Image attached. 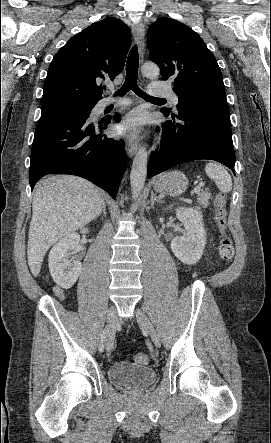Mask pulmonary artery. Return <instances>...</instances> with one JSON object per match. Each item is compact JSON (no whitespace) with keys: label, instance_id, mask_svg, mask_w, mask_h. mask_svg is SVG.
I'll use <instances>...</instances> for the list:
<instances>
[{"label":"pulmonary artery","instance_id":"1","mask_svg":"<svg viewBox=\"0 0 271 443\" xmlns=\"http://www.w3.org/2000/svg\"><path fill=\"white\" fill-rule=\"evenodd\" d=\"M154 94L159 96H166L174 104H178L179 102L178 96L172 90H168L165 92H154ZM130 103L131 100L129 98L111 95L97 102L96 106L94 107V113H100L108 107H123L129 105Z\"/></svg>","mask_w":271,"mask_h":443}]
</instances>
